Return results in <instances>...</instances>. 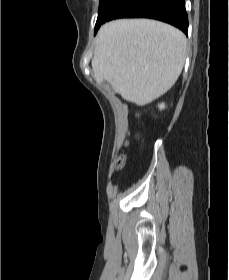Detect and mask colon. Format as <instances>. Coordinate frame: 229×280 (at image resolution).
Masks as SVG:
<instances>
[{"label": "colon", "instance_id": "5ec220e1", "mask_svg": "<svg viewBox=\"0 0 229 280\" xmlns=\"http://www.w3.org/2000/svg\"><path fill=\"white\" fill-rule=\"evenodd\" d=\"M136 138H140V134H136ZM126 163V157L125 156H120L119 160L117 162V167L122 168Z\"/></svg>", "mask_w": 229, "mask_h": 280}]
</instances>
